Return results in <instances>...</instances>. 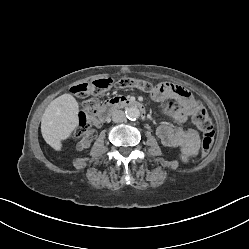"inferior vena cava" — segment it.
<instances>
[{
	"label": "inferior vena cava",
	"mask_w": 249,
	"mask_h": 249,
	"mask_svg": "<svg viewBox=\"0 0 249 249\" xmlns=\"http://www.w3.org/2000/svg\"><path fill=\"white\" fill-rule=\"evenodd\" d=\"M112 120L115 123H121L126 121V115L122 110H115L112 113Z\"/></svg>",
	"instance_id": "obj_1"
}]
</instances>
